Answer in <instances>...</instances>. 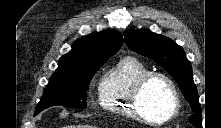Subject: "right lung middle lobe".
<instances>
[{
	"mask_svg": "<svg viewBox=\"0 0 221 128\" xmlns=\"http://www.w3.org/2000/svg\"><path fill=\"white\" fill-rule=\"evenodd\" d=\"M110 57L71 70L55 72L50 78L34 115L54 105L85 108L89 82Z\"/></svg>",
	"mask_w": 221,
	"mask_h": 128,
	"instance_id": "1",
	"label": "right lung middle lobe"
}]
</instances>
